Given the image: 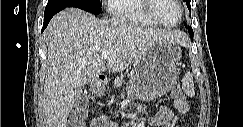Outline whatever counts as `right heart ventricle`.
<instances>
[{
	"label": "right heart ventricle",
	"instance_id": "right-heart-ventricle-1",
	"mask_svg": "<svg viewBox=\"0 0 243 127\" xmlns=\"http://www.w3.org/2000/svg\"><path fill=\"white\" fill-rule=\"evenodd\" d=\"M109 11L114 18L129 24L148 28L158 26L147 15L144 0H111Z\"/></svg>",
	"mask_w": 243,
	"mask_h": 127
}]
</instances>
